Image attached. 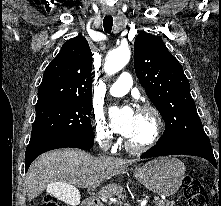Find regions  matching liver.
<instances>
[{"label": "liver", "instance_id": "6515ba94", "mask_svg": "<svg viewBox=\"0 0 221 206\" xmlns=\"http://www.w3.org/2000/svg\"><path fill=\"white\" fill-rule=\"evenodd\" d=\"M137 160L112 157H93L77 149L54 150L39 156L30 166L25 177L29 201L43 190L63 185L66 191L98 186L106 178L122 175ZM113 195H121L123 187L117 183L106 186Z\"/></svg>", "mask_w": 221, "mask_h": 206}]
</instances>
